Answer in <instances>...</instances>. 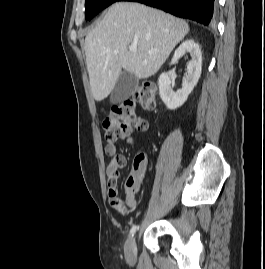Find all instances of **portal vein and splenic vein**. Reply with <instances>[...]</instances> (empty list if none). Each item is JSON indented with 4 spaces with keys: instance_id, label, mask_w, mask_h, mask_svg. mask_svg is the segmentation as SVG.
<instances>
[{
    "instance_id": "1",
    "label": "portal vein and splenic vein",
    "mask_w": 265,
    "mask_h": 269,
    "mask_svg": "<svg viewBox=\"0 0 265 269\" xmlns=\"http://www.w3.org/2000/svg\"><path fill=\"white\" fill-rule=\"evenodd\" d=\"M129 51L135 53L137 51V47L134 45L129 46ZM154 53H156V50H152L149 52V54H154Z\"/></svg>"
}]
</instances>
